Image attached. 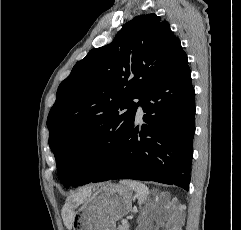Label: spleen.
<instances>
[{"instance_id": "obj_1", "label": "spleen", "mask_w": 241, "mask_h": 230, "mask_svg": "<svg viewBox=\"0 0 241 230\" xmlns=\"http://www.w3.org/2000/svg\"><path fill=\"white\" fill-rule=\"evenodd\" d=\"M122 183L136 192L139 204H142L147 199V196L149 195V189L143 183L131 180H126Z\"/></svg>"}]
</instances>
